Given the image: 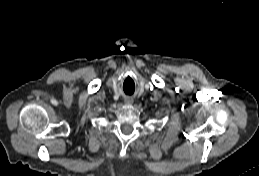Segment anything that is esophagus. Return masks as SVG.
<instances>
[{"label": "esophagus", "mask_w": 259, "mask_h": 176, "mask_svg": "<svg viewBox=\"0 0 259 176\" xmlns=\"http://www.w3.org/2000/svg\"><path fill=\"white\" fill-rule=\"evenodd\" d=\"M125 103H126V104H132L133 101H132V99H126V100H125Z\"/></svg>", "instance_id": "34e87169"}]
</instances>
